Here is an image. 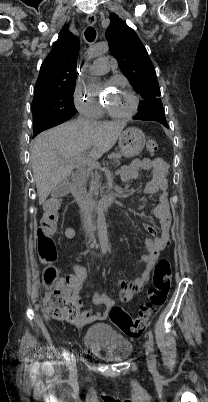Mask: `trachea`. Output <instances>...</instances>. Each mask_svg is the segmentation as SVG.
I'll use <instances>...</instances> for the list:
<instances>
[{
  "label": "trachea",
  "instance_id": "trachea-1",
  "mask_svg": "<svg viewBox=\"0 0 208 402\" xmlns=\"http://www.w3.org/2000/svg\"><path fill=\"white\" fill-rule=\"evenodd\" d=\"M85 38L88 42H93L96 38V30L94 27H88L85 30Z\"/></svg>",
  "mask_w": 208,
  "mask_h": 402
}]
</instances>
